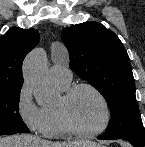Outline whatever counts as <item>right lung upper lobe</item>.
Instances as JSON below:
<instances>
[{"label":"right lung upper lobe","instance_id":"cb5924a9","mask_svg":"<svg viewBox=\"0 0 145 147\" xmlns=\"http://www.w3.org/2000/svg\"><path fill=\"white\" fill-rule=\"evenodd\" d=\"M39 41L34 29L12 27L0 36V90L22 87V63Z\"/></svg>","mask_w":145,"mask_h":147}]
</instances>
